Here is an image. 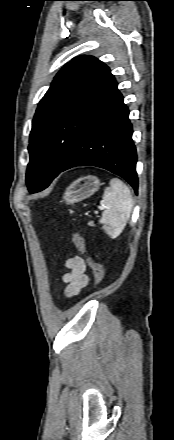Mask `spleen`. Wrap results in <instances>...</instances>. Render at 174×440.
Returning a JSON list of instances; mask_svg holds the SVG:
<instances>
[{"label":"spleen","instance_id":"1","mask_svg":"<svg viewBox=\"0 0 174 440\" xmlns=\"http://www.w3.org/2000/svg\"><path fill=\"white\" fill-rule=\"evenodd\" d=\"M109 184L104 191L105 210L99 222L106 234L114 239L122 233L130 218L133 199L130 189L120 179L113 178Z\"/></svg>","mask_w":174,"mask_h":440}]
</instances>
